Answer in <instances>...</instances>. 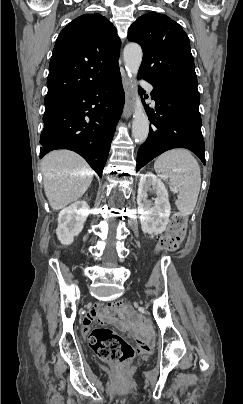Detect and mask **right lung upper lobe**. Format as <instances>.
<instances>
[{
    "mask_svg": "<svg viewBox=\"0 0 243 404\" xmlns=\"http://www.w3.org/2000/svg\"><path fill=\"white\" fill-rule=\"evenodd\" d=\"M120 38L100 14H84L59 34L49 64L44 101L81 92L118 74Z\"/></svg>",
    "mask_w": 243,
    "mask_h": 404,
    "instance_id": "1",
    "label": "right lung upper lobe"
}]
</instances>
